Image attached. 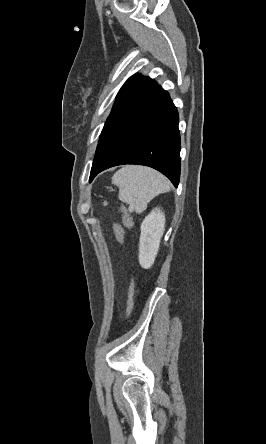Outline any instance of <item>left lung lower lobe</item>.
<instances>
[{"mask_svg":"<svg viewBox=\"0 0 266 444\" xmlns=\"http://www.w3.org/2000/svg\"><path fill=\"white\" fill-rule=\"evenodd\" d=\"M178 112L169 94L156 85L105 122L90 181L101 171L122 164L152 167L175 187L180 179Z\"/></svg>","mask_w":266,"mask_h":444,"instance_id":"1","label":"left lung lower lobe"}]
</instances>
